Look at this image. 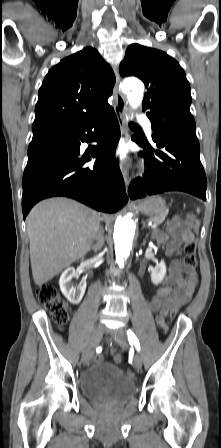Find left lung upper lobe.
<instances>
[{"label":"left lung upper lobe","mask_w":221,"mask_h":448,"mask_svg":"<svg viewBox=\"0 0 221 448\" xmlns=\"http://www.w3.org/2000/svg\"><path fill=\"white\" fill-rule=\"evenodd\" d=\"M121 76H136L146 88L142 109L153 133L197 140L190 113V84L179 63L165 52L140 44L130 45L120 65Z\"/></svg>","instance_id":"1"}]
</instances>
